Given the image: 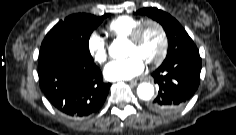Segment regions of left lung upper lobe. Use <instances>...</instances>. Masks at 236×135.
<instances>
[{
	"label": "left lung upper lobe",
	"mask_w": 236,
	"mask_h": 135,
	"mask_svg": "<svg viewBox=\"0 0 236 135\" xmlns=\"http://www.w3.org/2000/svg\"><path fill=\"white\" fill-rule=\"evenodd\" d=\"M136 14L148 15L163 26L169 43L167 55L164 61L185 55L191 50H197L196 45L185 29L168 13L150 7L140 9Z\"/></svg>",
	"instance_id": "left-lung-upper-lobe-1"
}]
</instances>
